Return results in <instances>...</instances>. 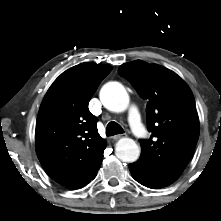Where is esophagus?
I'll return each mask as SVG.
<instances>
[{
    "label": "esophagus",
    "mask_w": 221,
    "mask_h": 221,
    "mask_svg": "<svg viewBox=\"0 0 221 221\" xmlns=\"http://www.w3.org/2000/svg\"><path fill=\"white\" fill-rule=\"evenodd\" d=\"M126 137H127V134H119V135L114 136V139H121V138H126Z\"/></svg>",
    "instance_id": "esophagus-1"
}]
</instances>
